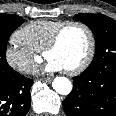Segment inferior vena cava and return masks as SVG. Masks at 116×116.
Returning a JSON list of instances; mask_svg holds the SVG:
<instances>
[{"label": "inferior vena cava", "instance_id": "inferior-vena-cava-1", "mask_svg": "<svg viewBox=\"0 0 116 116\" xmlns=\"http://www.w3.org/2000/svg\"><path fill=\"white\" fill-rule=\"evenodd\" d=\"M30 70H31V72H33V73L38 71V69H37L36 66H32V67L30 68Z\"/></svg>", "mask_w": 116, "mask_h": 116}]
</instances>
